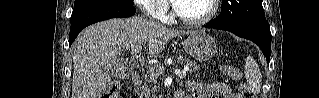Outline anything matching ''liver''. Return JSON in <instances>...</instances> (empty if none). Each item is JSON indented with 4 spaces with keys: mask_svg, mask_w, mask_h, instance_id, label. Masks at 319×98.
<instances>
[{
    "mask_svg": "<svg viewBox=\"0 0 319 98\" xmlns=\"http://www.w3.org/2000/svg\"><path fill=\"white\" fill-rule=\"evenodd\" d=\"M190 33L167 28L143 17L110 19L86 28L72 45V98H100L111 81L117 56L136 46L161 53L176 36Z\"/></svg>",
    "mask_w": 319,
    "mask_h": 98,
    "instance_id": "6515ba94",
    "label": "liver"
}]
</instances>
